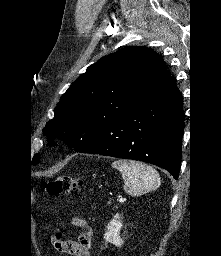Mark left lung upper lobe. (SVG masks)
I'll return each mask as SVG.
<instances>
[{
  "label": "left lung upper lobe",
  "mask_w": 221,
  "mask_h": 256,
  "mask_svg": "<svg viewBox=\"0 0 221 256\" xmlns=\"http://www.w3.org/2000/svg\"><path fill=\"white\" fill-rule=\"evenodd\" d=\"M170 79L164 61L144 47H127L87 68L63 94L43 134L77 150L103 126L125 115ZM39 162V156L33 164Z\"/></svg>",
  "instance_id": "obj_1"
}]
</instances>
